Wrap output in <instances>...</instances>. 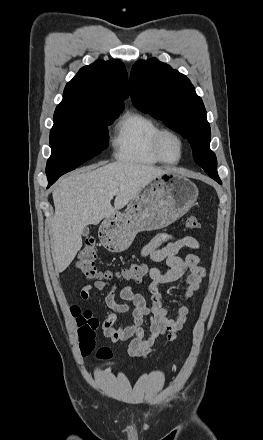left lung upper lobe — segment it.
I'll list each match as a JSON object with an SVG mask.
<instances>
[{"label":"left lung upper lobe","instance_id":"obj_1","mask_svg":"<svg viewBox=\"0 0 263 440\" xmlns=\"http://www.w3.org/2000/svg\"><path fill=\"white\" fill-rule=\"evenodd\" d=\"M129 85L134 105L187 138L195 162L210 177H218L206 110L190 80L153 58L133 65Z\"/></svg>","mask_w":263,"mask_h":440}]
</instances>
